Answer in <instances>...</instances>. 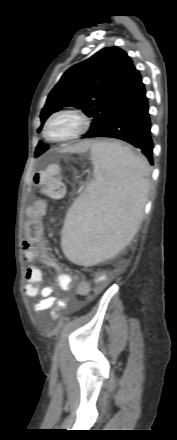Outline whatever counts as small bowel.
I'll return each instance as SVG.
<instances>
[{"label":"small bowel","instance_id":"1","mask_svg":"<svg viewBox=\"0 0 177 440\" xmlns=\"http://www.w3.org/2000/svg\"><path fill=\"white\" fill-rule=\"evenodd\" d=\"M28 221L26 223L27 239L23 242V259L28 263L25 271L24 291L28 297H38L41 299L34 305L36 313L53 308L63 307L69 298H59V290L68 291L75 286V293L78 296H87L90 292V285L86 280H82L78 274L70 275L65 273L59 264L49 253L45 242L41 236L42 220L47 214V204L38 200L29 205L26 209ZM38 261L45 267L52 269L55 273V284L40 286L43 275L41 270L33 263ZM56 318L57 314L53 313Z\"/></svg>","mask_w":177,"mask_h":440}]
</instances>
